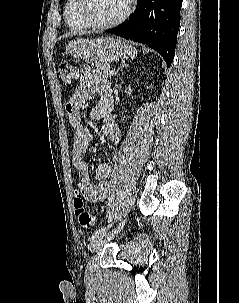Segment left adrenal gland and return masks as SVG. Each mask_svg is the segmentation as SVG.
<instances>
[{
  "label": "left adrenal gland",
  "mask_w": 239,
  "mask_h": 303,
  "mask_svg": "<svg viewBox=\"0 0 239 303\" xmlns=\"http://www.w3.org/2000/svg\"><path fill=\"white\" fill-rule=\"evenodd\" d=\"M124 67H129V65L125 61H122L120 66L118 67L117 71L114 73V75H117L119 73V71L121 69H123Z\"/></svg>",
  "instance_id": "a2214340"
}]
</instances>
